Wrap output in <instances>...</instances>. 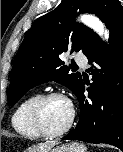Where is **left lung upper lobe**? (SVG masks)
<instances>
[{
  "label": "left lung upper lobe",
  "instance_id": "1",
  "mask_svg": "<svg viewBox=\"0 0 123 152\" xmlns=\"http://www.w3.org/2000/svg\"><path fill=\"white\" fill-rule=\"evenodd\" d=\"M120 6L119 0H62L53 11L39 17L28 30L11 71L8 101L13 106L28 90L36 85L56 81L75 94L82 78L72 65H64L62 53L82 51L87 54L99 38L90 28L75 23L77 14H96L103 22Z\"/></svg>",
  "mask_w": 123,
  "mask_h": 152
}]
</instances>
